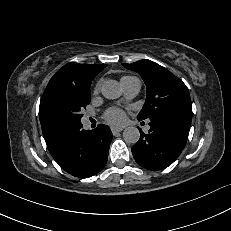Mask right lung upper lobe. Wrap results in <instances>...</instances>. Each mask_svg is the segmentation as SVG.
<instances>
[{
	"instance_id": "1",
	"label": "right lung upper lobe",
	"mask_w": 231,
	"mask_h": 231,
	"mask_svg": "<svg viewBox=\"0 0 231 231\" xmlns=\"http://www.w3.org/2000/svg\"><path fill=\"white\" fill-rule=\"evenodd\" d=\"M105 67L106 65L68 63L54 74L47 87L54 84H66L78 88L90 89L94 77ZM41 126L46 141L58 132V130L46 126L43 122H41Z\"/></svg>"
}]
</instances>
